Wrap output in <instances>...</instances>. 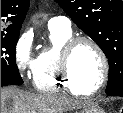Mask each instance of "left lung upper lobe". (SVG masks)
Segmentation results:
<instances>
[{
    "instance_id": "left-lung-upper-lobe-1",
    "label": "left lung upper lobe",
    "mask_w": 123,
    "mask_h": 113,
    "mask_svg": "<svg viewBox=\"0 0 123 113\" xmlns=\"http://www.w3.org/2000/svg\"><path fill=\"white\" fill-rule=\"evenodd\" d=\"M103 50L109 63L108 96H123L122 0H55Z\"/></svg>"
}]
</instances>
